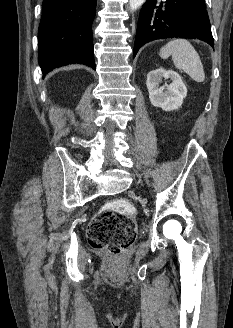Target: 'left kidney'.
<instances>
[{
  "mask_svg": "<svg viewBox=\"0 0 233 328\" xmlns=\"http://www.w3.org/2000/svg\"><path fill=\"white\" fill-rule=\"evenodd\" d=\"M162 78L170 79L171 84L160 87ZM146 86L151 104L164 111L179 109L187 96V88L181 76L175 71L164 68L150 71L147 75Z\"/></svg>",
  "mask_w": 233,
  "mask_h": 328,
  "instance_id": "obj_1",
  "label": "left kidney"
}]
</instances>
